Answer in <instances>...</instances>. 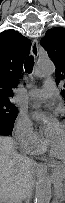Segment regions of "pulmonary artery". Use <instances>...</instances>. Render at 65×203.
I'll return each mask as SVG.
<instances>
[{
    "label": "pulmonary artery",
    "instance_id": "pulmonary-artery-1",
    "mask_svg": "<svg viewBox=\"0 0 65 203\" xmlns=\"http://www.w3.org/2000/svg\"><path fill=\"white\" fill-rule=\"evenodd\" d=\"M56 92L57 88L54 83L52 81H46L42 88L29 91V96L35 99H47L52 97Z\"/></svg>",
    "mask_w": 65,
    "mask_h": 203
}]
</instances>
